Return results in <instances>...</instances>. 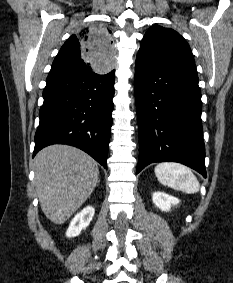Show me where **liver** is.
Returning a JSON list of instances; mask_svg holds the SVG:
<instances>
[{
	"label": "liver",
	"mask_w": 233,
	"mask_h": 283,
	"mask_svg": "<svg viewBox=\"0 0 233 283\" xmlns=\"http://www.w3.org/2000/svg\"><path fill=\"white\" fill-rule=\"evenodd\" d=\"M34 173L41 209L55 224H63L82 206L99 177L93 158L78 148L60 144L38 152Z\"/></svg>",
	"instance_id": "liver-1"
}]
</instances>
